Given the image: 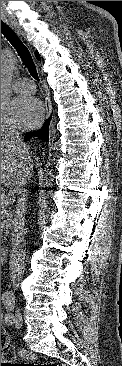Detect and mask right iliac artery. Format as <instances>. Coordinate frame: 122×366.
I'll return each instance as SVG.
<instances>
[{"instance_id": "obj_1", "label": "right iliac artery", "mask_w": 122, "mask_h": 366, "mask_svg": "<svg viewBox=\"0 0 122 366\" xmlns=\"http://www.w3.org/2000/svg\"><path fill=\"white\" fill-rule=\"evenodd\" d=\"M2 299L4 300V302H5V301L10 300V298H9V297H4V298H2Z\"/></svg>"}]
</instances>
